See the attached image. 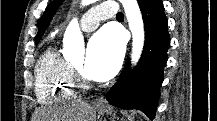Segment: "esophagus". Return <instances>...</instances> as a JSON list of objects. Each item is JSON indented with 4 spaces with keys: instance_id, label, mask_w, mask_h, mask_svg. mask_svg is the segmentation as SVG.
<instances>
[{
    "instance_id": "esophagus-1",
    "label": "esophagus",
    "mask_w": 217,
    "mask_h": 121,
    "mask_svg": "<svg viewBox=\"0 0 217 121\" xmlns=\"http://www.w3.org/2000/svg\"><path fill=\"white\" fill-rule=\"evenodd\" d=\"M97 105H98V106H106V105H107V100H106V98H105L104 96H102V97L98 100Z\"/></svg>"
}]
</instances>
